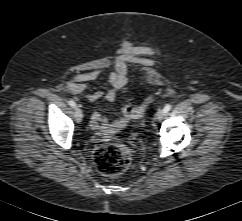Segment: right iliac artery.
I'll use <instances>...</instances> for the list:
<instances>
[{"mask_svg":"<svg viewBox=\"0 0 242 221\" xmlns=\"http://www.w3.org/2000/svg\"><path fill=\"white\" fill-rule=\"evenodd\" d=\"M68 104H69L71 107H73V108L76 107V103H75L73 100H69V101H68Z\"/></svg>","mask_w":242,"mask_h":221,"instance_id":"obj_1","label":"right iliac artery"}]
</instances>
